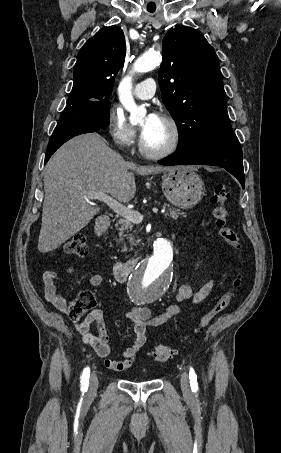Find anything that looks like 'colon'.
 <instances>
[{
    "label": "colon",
    "mask_w": 281,
    "mask_h": 453,
    "mask_svg": "<svg viewBox=\"0 0 281 453\" xmlns=\"http://www.w3.org/2000/svg\"><path fill=\"white\" fill-rule=\"evenodd\" d=\"M230 194L228 184L219 183L214 186L211 196V204L215 209V228L222 241L234 251L240 249L239 237L229 226L227 215V202ZM62 255L66 257H85L88 254V247L84 239L71 238L58 246ZM242 271H234L231 282L223 294L210 305L200 316L193 327L192 337H198L210 325V323L222 312H224L242 285ZM78 311V307H73ZM154 362L164 364L172 359V349L170 347H159L151 352Z\"/></svg>",
    "instance_id": "colon-1"
}]
</instances>
